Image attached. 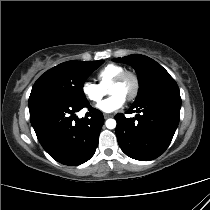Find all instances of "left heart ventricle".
Masks as SVG:
<instances>
[{"label": "left heart ventricle", "instance_id": "obj_1", "mask_svg": "<svg viewBox=\"0 0 210 210\" xmlns=\"http://www.w3.org/2000/svg\"><path fill=\"white\" fill-rule=\"evenodd\" d=\"M132 90L133 81L131 79H127L120 85L110 87L108 93L110 95L119 94L126 99V97L132 92Z\"/></svg>", "mask_w": 210, "mask_h": 210}]
</instances>
